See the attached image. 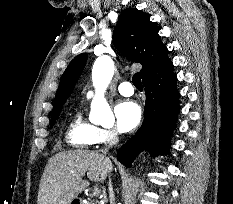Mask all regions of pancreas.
I'll list each match as a JSON object with an SVG mask.
<instances>
[{"mask_svg": "<svg viewBox=\"0 0 233 204\" xmlns=\"http://www.w3.org/2000/svg\"><path fill=\"white\" fill-rule=\"evenodd\" d=\"M87 204H99L97 201L94 200H88Z\"/></svg>", "mask_w": 233, "mask_h": 204, "instance_id": "1", "label": "pancreas"}]
</instances>
